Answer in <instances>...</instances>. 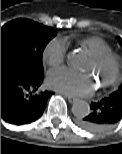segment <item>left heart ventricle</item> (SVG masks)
I'll return each instance as SVG.
<instances>
[{"label": "left heart ventricle", "mask_w": 122, "mask_h": 154, "mask_svg": "<svg viewBox=\"0 0 122 154\" xmlns=\"http://www.w3.org/2000/svg\"><path fill=\"white\" fill-rule=\"evenodd\" d=\"M86 71H91L93 72L94 74V77L95 79L98 81V82H101L107 75V72L106 71H94L93 70V65H92V61L89 62L87 68H86Z\"/></svg>", "instance_id": "obj_1"}]
</instances>
